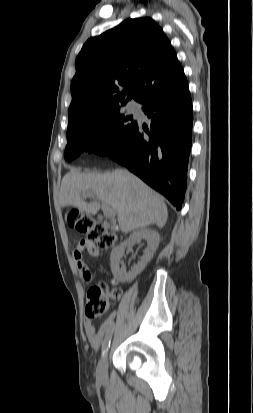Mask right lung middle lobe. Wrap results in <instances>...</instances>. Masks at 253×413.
I'll return each mask as SVG.
<instances>
[{
  "mask_svg": "<svg viewBox=\"0 0 253 413\" xmlns=\"http://www.w3.org/2000/svg\"><path fill=\"white\" fill-rule=\"evenodd\" d=\"M137 125L132 116L120 113L119 105L102 108L69 121L64 158L71 161L81 152L105 156ZM96 132L101 136L94 138Z\"/></svg>",
  "mask_w": 253,
  "mask_h": 413,
  "instance_id": "dd1d6c3e",
  "label": "right lung middle lobe"
}]
</instances>
